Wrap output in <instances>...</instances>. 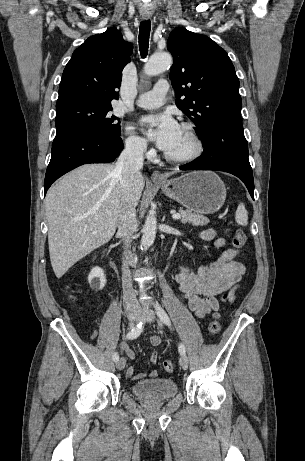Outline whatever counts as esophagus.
I'll list each match as a JSON object with an SVG mask.
<instances>
[{
	"mask_svg": "<svg viewBox=\"0 0 305 461\" xmlns=\"http://www.w3.org/2000/svg\"><path fill=\"white\" fill-rule=\"evenodd\" d=\"M143 19L144 20H148L149 19V16H143ZM151 179L153 181H164L165 180V176L163 174H161L159 171H153L152 175H151Z\"/></svg>",
	"mask_w": 305,
	"mask_h": 461,
	"instance_id": "34e87169",
	"label": "esophagus"
}]
</instances>
